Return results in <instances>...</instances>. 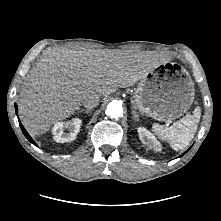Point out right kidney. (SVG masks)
<instances>
[{
    "label": "right kidney",
    "mask_w": 221,
    "mask_h": 221,
    "mask_svg": "<svg viewBox=\"0 0 221 221\" xmlns=\"http://www.w3.org/2000/svg\"><path fill=\"white\" fill-rule=\"evenodd\" d=\"M81 123L82 120L79 118H74L67 122H57L52 128L54 140L60 143L73 141L79 132ZM65 130L68 132H65Z\"/></svg>",
    "instance_id": "1"
}]
</instances>
